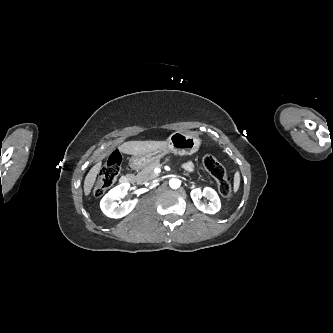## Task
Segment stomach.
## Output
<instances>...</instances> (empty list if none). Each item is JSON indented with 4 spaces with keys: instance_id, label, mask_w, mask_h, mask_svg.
I'll return each instance as SVG.
<instances>
[{
    "instance_id": "stomach-1",
    "label": "stomach",
    "mask_w": 333,
    "mask_h": 333,
    "mask_svg": "<svg viewBox=\"0 0 333 333\" xmlns=\"http://www.w3.org/2000/svg\"><path fill=\"white\" fill-rule=\"evenodd\" d=\"M167 145L156 151L143 155H133L129 161L133 169H140L149 163L160 160L168 153L177 155H192L199 150L201 139L198 136L181 131L172 133L166 140Z\"/></svg>"
}]
</instances>
